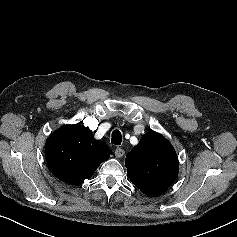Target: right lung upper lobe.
<instances>
[{
  "label": "right lung upper lobe",
  "instance_id": "obj_1",
  "mask_svg": "<svg viewBox=\"0 0 237 237\" xmlns=\"http://www.w3.org/2000/svg\"><path fill=\"white\" fill-rule=\"evenodd\" d=\"M45 146L48 168L68 184L90 179L100 163L110 156L108 146L81 124L62 126L48 137Z\"/></svg>",
  "mask_w": 237,
  "mask_h": 237
}]
</instances>
